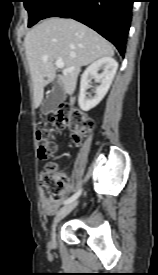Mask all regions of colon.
<instances>
[{"label":"colon","instance_id":"obj_1","mask_svg":"<svg viewBox=\"0 0 158 275\" xmlns=\"http://www.w3.org/2000/svg\"><path fill=\"white\" fill-rule=\"evenodd\" d=\"M92 126L93 120L81 110L71 109L67 106H58L51 110L36 133L39 158L46 159L55 152L53 130L60 132L68 128L72 132L73 139L78 141ZM39 183L47 189L50 200L56 202L63 200L67 177L63 172L57 170L55 163L45 164Z\"/></svg>","mask_w":158,"mask_h":275}]
</instances>
